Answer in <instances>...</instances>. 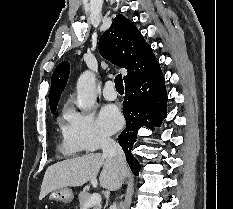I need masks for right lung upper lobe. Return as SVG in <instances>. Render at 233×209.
<instances>
[{
  "label": "right lung upper lobe",
  "mask_w": 233,
  "mask_h": 209,
  "mask_svg": "<svg viewBox=\"0 0 233 209\" xmlns=\"http://www.w3.org/2000/svg\"><path fill=\"white\" fill-rule=\"evenodd\" d=\"M98 48L103 58L127 69L128 73L124 77L126 86L143 78L159 65L151 46L144 40L133 22L122 14L117 15L110 28L102 34ZM69 72V63L66 61L61 62L53 72L49 92L51 111L57 108Z\"/></svg>",
  "instance_id": "obj_1"
}]
</instances>
